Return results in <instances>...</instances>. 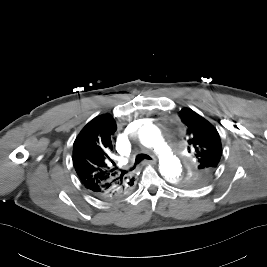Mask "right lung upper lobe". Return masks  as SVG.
Listing matches in <instances>:
<instances>
[{"label":"right lung upper lobe","instance_id":"right-lung-upper-lobe-1","mask_svg":"<svg viewBox=\"0 0 267 267\" xmlns=\"http://www.w3.org/2000/svg\"><path fill=\"white\" fill-rule=\"evenodd\" d=\"M116 123L110 115H100L91 120L73 144V164L85 188L96 196L108 197L124 192V187L134 182V177L118 173L112 168L111 135Z\"/></svg>","mask_w":267,"mask_h":267}]
</instances>
